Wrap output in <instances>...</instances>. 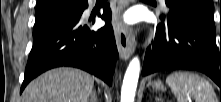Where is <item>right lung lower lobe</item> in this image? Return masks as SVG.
<instances>
[{"mask_svg":"<svg viewBox=\"0 0 221 102\" xmlns=\"http://www.w3.org/2000/svg\"><path fill=\"white\" fill-rule=\"evenodd\" d=\"M87 7V0L82 1L75 15L62 18L33 36L34 43L20 92L39 74L59 66L81 68L108 85L112 84L118 51L110 24L111 9L109 4L105 5L103 14L99 16L106 24L92 31L80 19Z\"/></svg>","mask_w":221,"mask_h":102,"instance_id":"right-lung-lower-lobe-1","label":"right lung lower lobe"}]
</instances>
